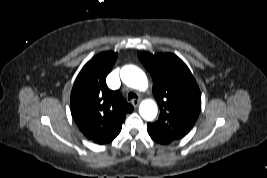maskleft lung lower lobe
Instances as JSON below:
<instances>
[{
    "mask_svg": "<svg viewBox=\"0 0 267 178\" xmlns=\"http://www.w3.org/2000/svg\"><path fill=\"white\" fill-rule=\"evenodd\" d=\"M148 133H149V135L151 136V138L154 140V141H156V142H158V143H160V144H165L161 139H159V138H157L156 136H154L152 133H150L149 131H148Z\"/></svg>",
    "mask_w": 267,
    "mask_h": 178,
    "instance_id": "1",
    "label": "left lung lower lobe"
}]
</instances>
